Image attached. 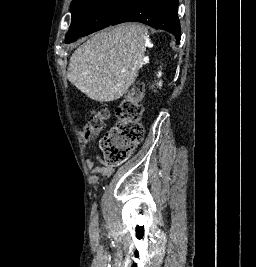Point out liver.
Returning <instances> with one entry per match:
<instances>
[{"instance_id": "liver-1", "label": "liver", "mask_w": 256, "mask_h": 267, "mask_svg": "<svg viewBox=\"0 0 256 267\" xmlns=\"http://www.w3.org/2000/svg\"><path fill=\"white\" fill-rule=\"evenodd\" d=\"M146 32L132 22L97 32L72 54L69 82L96 102L118 100L138 76Z\"/></svg>"}]
</instances>
